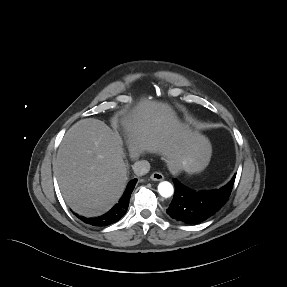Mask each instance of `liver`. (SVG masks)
I'll list each match as a JSON object with an SVG mask.
<instances>
[{
	"instance_id": "obj_1",
	"label": "liver",
	"mask_w": 287,
	"mask_h": 287,
	"mask_svg": "<svg viewBox=\"0 0 287 287\" xmlns=\"http://www.w3.org/2000/svg\"><path fill=\"white\" fill-rule=\"evenodd\" d=\"M121 125L133 159L145 152L160 154L173 174L189 163L195 172L209 164V140L181 123L166 103L144 99ZM122 145L117 133L94 118L82 119L66 132L55 165L62 195L73 211L99 216L119 200L128 179Z\"/></svg>"
}]
</instances>
